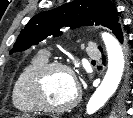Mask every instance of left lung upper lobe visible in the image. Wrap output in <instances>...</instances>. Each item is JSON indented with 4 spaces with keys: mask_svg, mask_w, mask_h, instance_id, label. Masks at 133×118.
I'll return each mask as SVG.
<instances>
[{
    "mask_svg": "<svg viewBox=\"0 0 133 118\" xmlns=\"http://www.w3.org/2000/svg\"><path fill=\"white\" fill-rule=\"evenodd\" d=\"M93 24H102L113 31L120 25L115 7L109 0H74L31 18L20 32L10 53L24 51L50 35H61L60 29L64 26L74 29ZM99 49L101 50L100 47ZM127 95L128 87L121 88L115 95L111 103L115 115L123 113Z\"/></svg>",
    "mask_w": 133,
    "mask_h": 118,
    "instance_id": "left-lung-upper-lobe-1",
    "label": "left lung upper lobe"
}]
</instances>
